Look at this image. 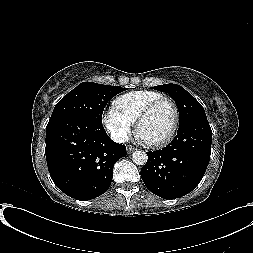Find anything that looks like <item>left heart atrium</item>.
<instances>
[{
  "mask_svg": "<svg viewBox=\"0 0 253 253\" xmlns=\"http://www.w3.org/2000/svg\"><path fill=\"white\" fill-rule=\"evenodd\" d=\"M138 139L142 142H146L140 135H138Z\"/></svg>",
  "mask_w": 253,
  "mask_h": 253,
  "instance_id": "left-heart-atrium-1",
  "label": "left heart atrium"
}]
</instances>
